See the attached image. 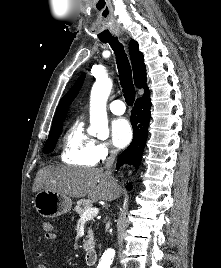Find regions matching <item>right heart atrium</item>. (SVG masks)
<instances>
[{
    "label": "right heart atrium",
    "instance_id": "obj_1",
    "mask_svg": "<svg viewBox=\"0 0 221 268\" xmlns=\"http://www.w3.org/2000/svg\"><path fill=\"white\" fill-rule=\"evenodd\" d=\"M95 150L98 161H103L114 153V150H112L109 144L104 141H96Z\"/></svg>",
    "mask_w": 221,
    "mask_h": 268
}]
</instances>
